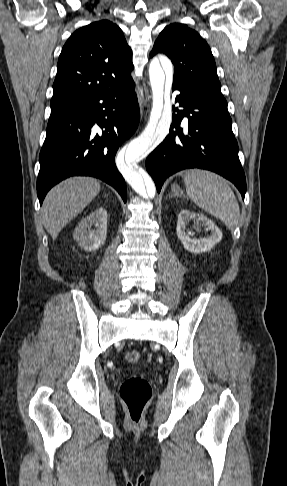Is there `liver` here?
Segmentation results:
<instances>
[{"instance_id":"6515ba94","label":"liver","mask_w":287,"mask_h":486,"mask_svg":"<svg viewBox=\"0 0 287 486\" xmlns=\"http://www.w3.org/2000/svg\"><path fill=\"white\" fill-rule=\"evenodd\" d=\"M100 183L91 177H71L53 187L44 199L43 225L52 239L98 195Z\"/></svg>"}]
</instances>
